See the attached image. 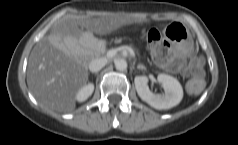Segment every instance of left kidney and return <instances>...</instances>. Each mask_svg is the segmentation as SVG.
I'll return each instance as SVG.
<instances>
[{
	"mask_svg": "<svg viewBox=\"0 0 238 145\" xmlns=\"http://www.w3.org/2000/svg\"><path fill=\"white\" fill-rule=\"evenodd\" d=\"M157 80L164 88L162 95L150 91L147 76H136L134 83L139 97L151 107L159 110L170 109L178 105L183 98V89L179 81L164 73L159 74Z\"/></svg>",
	"mask_w": 238,
	"mask_h": 145,
	"instance_id": "left-kidney-1",
	"label": "left kidney"
}]
</instances>
